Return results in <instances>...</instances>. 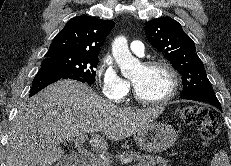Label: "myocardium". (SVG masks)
<instances>
[{
    "instance_id": "myocardium-1",
    "label": "myocardium",
    "mask_w": 231,
    "mask_h": 166,
    "mask_svg": "<svg viewBox=\"0 0 231 166\" xmlns=\"http://www.w3.org/2000/svg\"><path fill=\"white\" fill-rule=\"evenodd\" d=\"M142 66L145 68H153V67H162L164 68L170 75L171 78V88L167 95L158 100H147L142 98L136 88L134 83L132 82L133 87V95L134 98L141 104L145 106H163L168 104L177 94L179 86H180V78L175 67L168 61L164 59H152L142 63Z\"/></svg>"
}]
</instances>
